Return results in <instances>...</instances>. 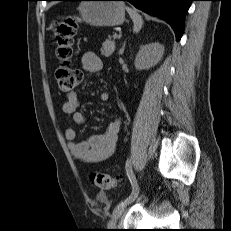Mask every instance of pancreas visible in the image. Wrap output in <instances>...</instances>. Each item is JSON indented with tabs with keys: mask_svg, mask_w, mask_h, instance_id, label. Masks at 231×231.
Returning a JSON list of instances; mask_svg holds the SVG:
<instances>
[{
	"mask_svg": "<svg viewBox=\"0 0 231 231\" xmlns=\"http://www.w3.org/2000/svg\"><path fill=\"white\" fill-rule=\"evenodd\" d=\"M115 50V41L108 39L102 44L101 54L105 57H109Z\"/></svg>",
	"mask_w": 231,
	"mask_h": 231,
	"instance_id": "1",
	"label": "pancreas"
}]
</instances>
